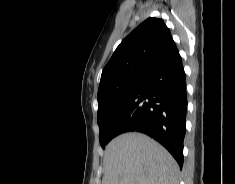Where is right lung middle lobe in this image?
Returning a JSON list of instances; mask_svg holds the SVG:
<instances>
[{
	"label": "right lung middle lobe",
	"instance_id": "1",
	"mask_svg": "<svg viewBox=\"0 0 235 184\" xmlns=\"http://www.w3.org/2000/svg\"><path fill=\"white\" fill-rule=\"evenodd\" d=\"M141 83L142 79H133L109 89L103 95L101 102L98 103L97 122L100 128V144L103 149L116 136L113 127L125 105Z\"/></svg>",
	"mask_w": 235,
	"mask_h": 184
}]
</instances>
